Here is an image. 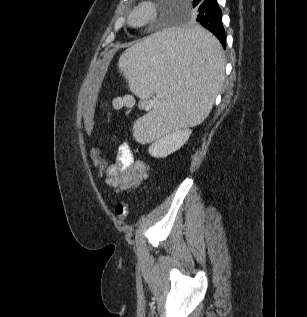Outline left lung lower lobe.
I'll list each match as a JSON object with an SVG mask.
<instances>
[{"label":"left lung lower lobe","instance_id":"1","mask_svg":"<svg viewBox=\"0 0 307 317\" xmlns=\"http://www.w3.org/2000/svg\"><path fill=\"white\" fill-rule=\"evenodd\" d=\"M193 7H196L197 19L204 28L212 32L220 41L223 48H226L225 31L222 24V11L217 0H194ZM182 43L198 52L206 61L215 58V51L193 39H179Z\"/></svg>","mask_w":307,"mask_h":317}]
</instances>
